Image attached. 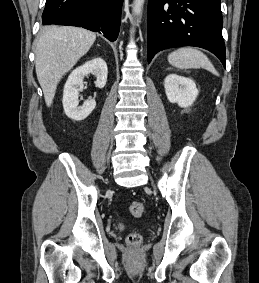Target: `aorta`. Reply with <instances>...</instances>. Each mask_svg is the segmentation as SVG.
Wrapping results in <instances>:
<instances>
[{"label": "aorta", "instance_id": "aorta-1", "mask_svg": "<svg viewBox=\"0 0 259 283\" xmlns=\"http://www.w3.org/2000/svg\"><path fill=\"white\" fill-rule=\"evenodd\" d=\"M144 5V0H135L133 3V13L135 16L140 17L142 14V9Z\"/></svg>", "mask_w": 259, "mask_h": 283}]
</instances>
